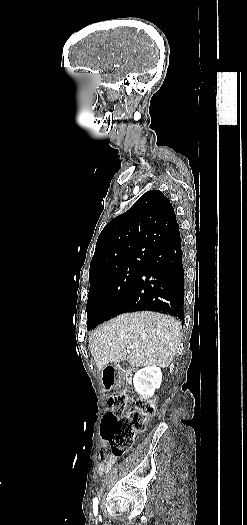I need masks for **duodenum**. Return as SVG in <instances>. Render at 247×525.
<instances>
[{
  "label": "duodenum",
  "mask_w": 247,
  "mask_h": 525,
  "mask_svg": "<svg viewBox=\"0 0 247 525\" xmlns=\"http://www.w3.org/2000/svg\"><path fill=\"white\" fill-rule=\"evenodd\" d=\"M122 375H125L127 379L131 376L130 368L126 360H119L115 362L113 366H107L102 374L104 387L108 390L114 388L119 383Z\"/></svg>",
  "instance_id": "1"
}]
</instances>
